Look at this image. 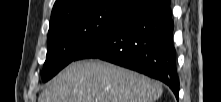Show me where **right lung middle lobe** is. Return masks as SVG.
<instances>
[{
	"mask_svg": "<svg viewBox=\"0 0 221 102\" xmlns=\"http://www.w3.org/2000/svg\"><path fill=\"white\" fill-rule=\"evenodd\" d=\"M136 8L128 0H84L51 16L44 82L55 76Z\"/></svg>",
	"mask_w": 221,
	"mask_h": 102,
	"instance_id": "right-lung-middle-lobe-1",
	"label": "right lung middle lobe"
}]
</instances>
